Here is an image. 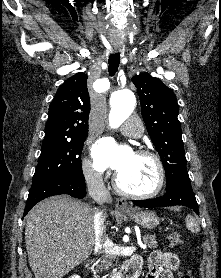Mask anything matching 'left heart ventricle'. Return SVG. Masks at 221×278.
Here are the masks:
<instances>
[{
  "instance_id": "b2bd125f",
  "label": "left heart ventricle",
  "mask_w": 221,
  "mask_h": 278,
  "mask_svg": "<svg viewBox=\"0 0 221 278\" xmlns=\"http://www.w3.org/2000/svg\"><path fill=\"white\" fill-rule=\"evenodd\" d=\"M121 186L134 192H149L156 187L158 170L153 159L133 153L130 160L118 172Z\"/></svg>"
}]
</instances>
